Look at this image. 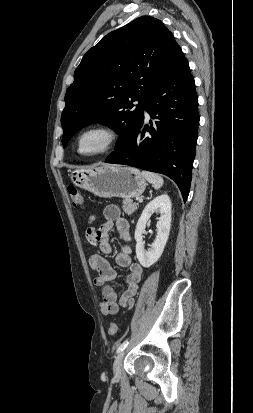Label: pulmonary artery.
<instances>
[{
    "label": "pulmonary artery",
    "instance_id": "obj_1",
    "mask_svg": "<svg viewBox=\"0 0 253 413\" xmlns=\"http://www.w3.org/2000/svg\"><path fill=\"white\" fill-rule=\"evenodd\" d=\"M145 114L148 116V113L145 111Z\"/></svg>",
    "mask_w": 253,
    "mask_h": 413
}]
</instances>
